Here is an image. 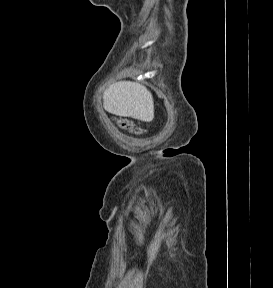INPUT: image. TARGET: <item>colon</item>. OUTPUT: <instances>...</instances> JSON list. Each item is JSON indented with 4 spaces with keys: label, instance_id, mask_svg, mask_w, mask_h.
<instances>
[{
    "label": "colon",
    "instance_id": "1",
    "mask_svg": "<svg viewBox=\"0 0 273 288\" xmlns=\"http://www.w3.org/2000/svg\"><path fill=\"white\" fill-rule=\"evenodd\" d=\"M117 124L120 128L133 132V133H139L140 130L135 126V124L126 118H120L117 120Z\"/></svg>",
    "mask_w": 273,
    "mask_h": 288
}]
</instances>
